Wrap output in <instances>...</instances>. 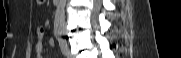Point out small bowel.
Here are the masks:
<instances>
[{
	"instance_id": "c3829d8e",
	"label": "small bowel",
	"mask_w": 181,
	"mask_h": 58,
	"mask_svg": "<svg viewBox=\"0 0 181 58\" xmlns=\"http://www.w3.org/2000/svg\"><path fill=\"white\" fill-rule=\"evenodd\" d=\"M36 34H37V42L35 44V47H34V50H35V55H36V58H44V54H43V43H42V39L44 37V34H45V30L43 27H38L37 28V31H36ZM54 40L53 39H50L49 40V44L50 46H54Z\"/></svg>"
}]
</instances>
